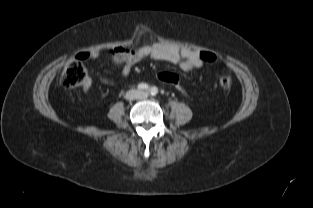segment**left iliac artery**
I'll return each mask as SVG.
<instances>
[{
  "label": "left iliac artery",
  "instance_id": "obj_1",
  "mask_svg": "<svg viewBox=\"0 0 313 208\" xmlns=\"http://www.w3.org/2000/svg\"><path fill=\"white\" fill-rule=\"evenodd\" d=\"M150 93H151L152 96L157 95V93H158V88L155 87V86H153V87L150 89Z\"/></svg>",
  "mask_w": 313,
  "mask_h": 208
}]
</instances>
